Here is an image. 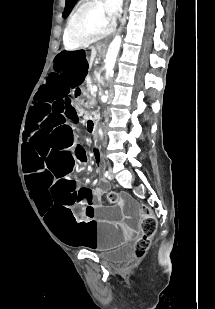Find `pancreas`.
Returning a JSON list of instances; mask_svg holds the SVG:
<instances>
[{
	"label": "pancreas",
	"instance_id": "pancreas-1",
	"mask_svg": "<svg viewBox=\"0 0 215 309\" xmlns=\"http://www.w3.org/2000/svg\"><path fill=\"white\" fill-rule=\"evenodd\" d=\"M86 86H87V90L91 92V88L93 86V80H87ZM89 104H96V98L94 94H91V96H89Z\"/></svg>",
	"mask_w": 215,
	"mask_h": 309
}]
</instances>
